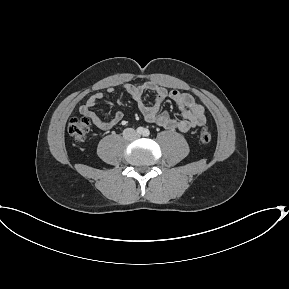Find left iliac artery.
<instances>
[{
	"instance_id": "1",
	"label": "left iliac artery",
	"mask_w": 289,
	"mask_h": 289,
	"mask_svg": "<svg viewBox=\"0 0 289 289\" xmlns=\"http://www.w3.org/2000/svg\"><path fill=\"white\" fill-rule=\"evenodd\" d=\"M143 135L146 136V137L149 136L150 135V131L148 129H144Z\"/></svg>"
}]
</instances>
